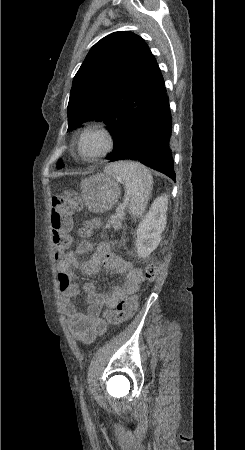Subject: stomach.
Returning <instances> with one entry per match:
<instances>
[{
	"label": "stomach",
	"instance_id": "1",
	"mask_svg": "<svg viewBox=\"0 0 245 450\" xmlns=\"http://www.w3.org/2000/svg\"><path fill=\"white\" fill-rule=\"evenodd\" d=\"M80 189L86 207L93 213L110 210L121 194L119 181L110 173H98L82 180Z\"/></svg>",
	"mask_w": 245,
	"mask_h": 450
}]
</instances>
